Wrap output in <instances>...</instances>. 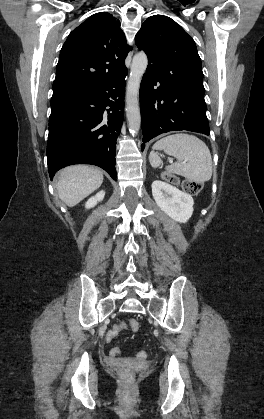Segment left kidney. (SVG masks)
<instances>
[{
    "label": "left kidney",
    "mask_w": 264,
    "mask_h": 419,
    "mask_svg": "<svg viewBox=\"0 0 264 419\" xmlns=\"http://www.w3.org/2000/svg\"><path fill=\"white\" fill-rule=\"evenodd\" d=\"M152 195L159 208L177 222L185 223L193 214V198L166 182L155 180Z\"/></svg>",
    "instance_id": "left-kidney-1"
}]
</instances>
